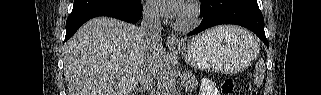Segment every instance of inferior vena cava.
<instances>
[{"label": "inferior vena cava", "mask_w": 321, "mask_h": 95, "mask_svg": "<svg viewBox=\"0 0 321 95\" xmlns=\"http://www.w3.org/2000/svg\"><path fill=\"white\" fill-rule=\"evenodd\" d=\"M141 37L145 45L150 49L151 56L149 63L143 68L139 76V83L144 90H151L155 70L151 64L153 53L162 44V27L158 13L152 8L145 6L143 8V19L140 27Z\"/></svg>", "instance_id": "1"}]
</instances>
